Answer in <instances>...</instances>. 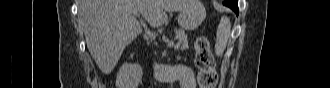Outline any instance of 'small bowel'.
<instances>
[{
    "instance_id": "obj_1",
    "label": "small bowel",
    "mask_w": 330,
    "mask_h": 88,
    "mask_svg": "<svg viewBox=\"0 0 330 88\" xmlns=\"http://www.w3.org/2000/svg\"><path fill=\"white\" fill-rule=\"evenodd\" d=\"M172 81L181 83L182 88H195L196 81L193 70L185 65H174L168 70Z\"/></svg>"
}]
</instances>
